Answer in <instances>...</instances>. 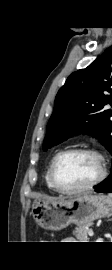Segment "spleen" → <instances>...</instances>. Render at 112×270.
Segmentation results:
<instances>
[{
    "mask_svg": "<svg viewBox=\"0 0 112 270\" xmlns=\"http://www.w3.org/2000/svg\"><path fill=\"white\" fill-rule=\"evenodd\" d=\"M110 198H112V193H109V195H108Z\"/></svg>",
    "mask_w": 112,
    "mask_h": 270,
    "instance_id": "spleen-1",
    "label": "spleen"
}]
</instances>
